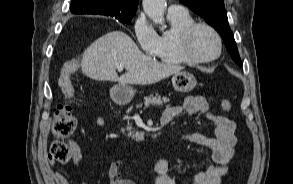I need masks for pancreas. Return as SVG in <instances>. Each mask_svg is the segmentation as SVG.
Instances as JSON below:
<instances>
[{"mask_svg":"<svg viewBox=\"0 0 293 184\" xmlns=\"http://www.w3.org/2000/svg\"><path fill=\"white\" fill-rule=\"evenodd\" d=\"M169 102V99L166 98V97H163L161 98L160 95L156 94L155 96L153 95H150L149 97L145 98V106L148 107L150 105L152 106H162L163 104ZM142 107V104H138L136 106V108H140ZM132 110V107H130L127 111V113H130ZM132 125L131 123H129L128 121V125H127V131L129 132L128 133V136L131 137L132 139H135L136 141H141L143 140V135L141 133H134V130L132 131ZM121 132L122 133H125V129H121Z\"/></svg>","mask_w":293,"mask_h":184,"instance_id":"1","label":"pancreas"}]
</instances>
